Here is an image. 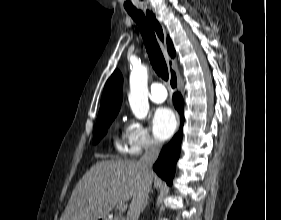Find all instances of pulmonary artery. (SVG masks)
<instances>
[{
	"label": "pulmonary artery",
	"instance_id": "pulmonary-artery-1",
	"mask_svg": "<svg viewBox=\"0 0 281 220\" xmlns=\"http://www.w3.org/2000/svg\"><path fill=\"white\" fill-rule=\"evenodd\" d=\"M149 97L154 103H162L167 97L165 87L161 83H153L150 87Z\"/></svg>",
	"mask_w": 281,
	"mask_h": 220
}]
</instances>
